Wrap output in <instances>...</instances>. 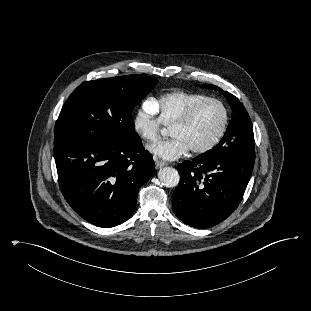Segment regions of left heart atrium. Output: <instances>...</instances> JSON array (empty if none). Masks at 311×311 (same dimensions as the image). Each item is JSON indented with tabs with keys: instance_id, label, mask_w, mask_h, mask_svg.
I'll use <instances>...</instances> for the list:
<instances>
[{
	"instance_id": "39dd6f15",
	"label": "left heart atrium",
	"mask_w": 311,
	"mask_h": 311,
	"mask_svg": "<svg viewBox=\"0 0 311 311\" xmlns=\"http://www.w3.org/2000/svg\"><path fill=\"white\" fill-rule=\"evenodd\" d=\"M149 151L155 156L166 161H173L186 154L190 147L180 137H172L158 141L149 146Z\"/></svg>"
}]
</instances>
